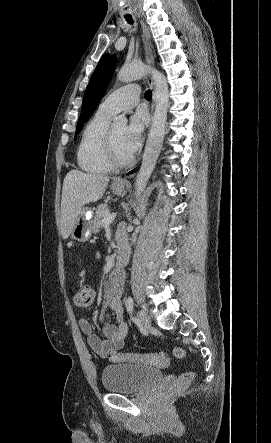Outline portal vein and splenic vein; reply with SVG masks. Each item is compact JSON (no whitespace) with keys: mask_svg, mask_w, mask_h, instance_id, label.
<instances>
[{"mask_svg":"<svg viewBox=\"0 0 271 443\" xmlns=\"http://www.w3.org/2000/svg\"><path fill=\"white\" fill-rule=\"evenodd\" d=\"M116 218V214H110V216H106V218H104V220H102V225H109V223H112L113 220H115Z\"/></svg>","mask_w":271,"mask_h":443,"instance_id":"obj_1","label":"portal vein and splenic vein"}]
</instances>
